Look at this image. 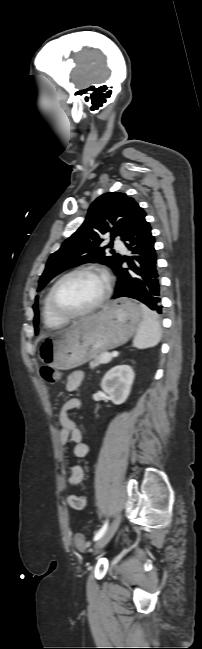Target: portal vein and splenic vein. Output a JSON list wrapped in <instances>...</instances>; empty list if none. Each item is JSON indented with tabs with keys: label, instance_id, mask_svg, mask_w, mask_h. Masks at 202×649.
Masks as SVG:
<instances>
[{
	"label": "portal vein and splenic vein",
	"instance_id": "obj_1",
	"mask_svg": "<svg viewBox=\"0 0 202 649\" xmlns=\"http://www.w3.org/2000/svg\"><path fill=\"white\" fill-rule=\"evenodd\" d=\"M111 358H112V356H111L110 353H103V354L101 355V360H102L103 363H108V362H110V361H111Z\"/></svg>",
	"mask_w": 202,
	"mask_h": 649
}]
</instances>
